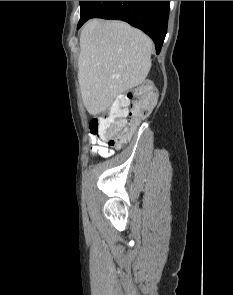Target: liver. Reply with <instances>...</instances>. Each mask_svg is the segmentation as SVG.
I'll return each mask as SVG.
<instances>
[{"instance_id":"liver-1","label":"liver","mask_w":233,"mask_h":295,"mask_svg":"<svg viewBox=\"0 0 233 295\" xmlns=\"http://www.w3.org/2000/svg\"><path fill=\"white\" fill-rule=\"evenodd\" d=\"M152 40L122 21L89 20L81 30L78 81L83 104L96 115L143 83L151 68Z\"/></svg>"}]
</instances>
